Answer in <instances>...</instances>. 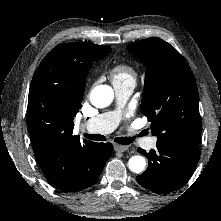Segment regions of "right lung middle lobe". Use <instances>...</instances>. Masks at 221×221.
Here are the masks:
<instances>
[{
	"mask_svg": "<svg viewBox=\"0 0 221 221\" xmlns=\"http://www.w3.org/2000/svg\"><path fill=\"white\" fill-rule=\"evenodd\" d=\"M111 51V48L107 49H99L96 51V53L93 55L92 60L100 59L104 56H106Z\"/></svg>",
	"mask_w": 221,
	"mask_h": 221,
	"instance_id": "1",
	"label": "right lung middle lobe"
}]
</instances>
